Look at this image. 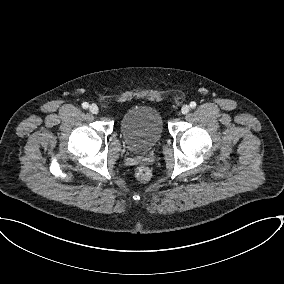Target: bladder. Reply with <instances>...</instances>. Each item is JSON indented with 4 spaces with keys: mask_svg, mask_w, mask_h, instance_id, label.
<instances>
[{
    "mask_svg": "<svg viewBox=\"0 0 284 284\" xmlns=\"http://www.w3.org/2000/svg\"><path fill=\"white\" fill-rule=\"evenodd\" d=\"M120 132L131 151L146 153L162 137L163 120L161 114L151 106H134L122 116Z\"/></svg>",
    "mask_w": 284,
    "mask_h": 284,
    "instance_id": "obj_1",
    "label": "bladder"
}]
</instances>
